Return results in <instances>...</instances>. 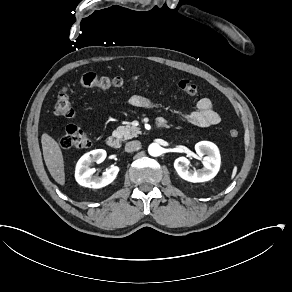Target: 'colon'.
<instances>
[{"label": "colon", "instance_id": "colon-1", "mask_svg": "<svg viewBox=\"0 0 292 292\" xmlns=\"http://www.w3.org/2000/svg\"><path fill=\"white\" fill-rule=\"evenodd\" d=\"M138 75H133L131 77H108V76H97L93 73H87L83 75L78 81L77 85L83 88L98 87L101 89H121L128 81L139 80ZM178 87L184 93L192 96L199 94V89L195 83L187 78H182L178 82ZM54 114L59 118H71L74 114V108L72 101L69 96V86L64 85L59 94L57 95ZM229 134L232 138L239 136V131L235 128L230 129ZM61 147L67 150L83 149L90 146L91 142L88 134L77 126H68L61 137L60 140Z\"/></svg>", "mask_w": 292, "mask_h": 292}]
</instances>
